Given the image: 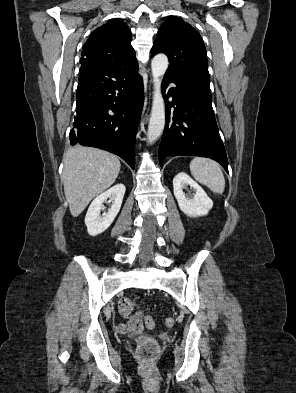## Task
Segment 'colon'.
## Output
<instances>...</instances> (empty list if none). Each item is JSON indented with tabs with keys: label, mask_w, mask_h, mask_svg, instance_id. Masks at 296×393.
<instances>
[{
	"label": "colon",
	"mask_w": 296,
	"mask_h": 393,
	"mask_svg": "<svg viewBox=\"0 0 296 393\" xmlns=\"http://www.w3.org/2000/svg\"><path fill=\"white\" fill-rule=\"evenodd\" d=\"M134 303L129 299H122L119 302V309L122 315L128 317L133 310ZM144 324L147 328L152 329L155 327V320L150 315H141ZM165 325L167 327H172L174 325V320L172 318H167L165 320ZM159 348L158 344L149 337H142L138 340L137 356L143 362L145 366H150L158 354Z\"/></svg>",
	"instance_id": "colon-1"
}]
</instances>
